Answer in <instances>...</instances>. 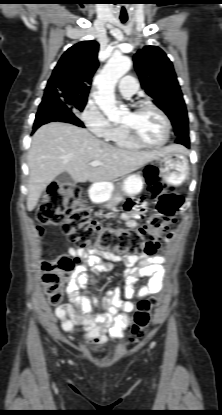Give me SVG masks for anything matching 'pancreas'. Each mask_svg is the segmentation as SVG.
Masks as SVG:
<instances>
[{"mask_svg": "<svg viewBox=\"0 0 222 415\" xmlns=\"http://www.w3.org/2000/svg\"><path fill=\"white\" fill-rule=\"evenodd\" d=\"M122 195L119 191H112L108 201L104 204V207L107 209L114 208L117 204L122 201Z\"/></svg>", "mask_w": 222, "mask_h": 415, "instance_id": "pancreas-1", "label": "pancreas"}]
</instances>
